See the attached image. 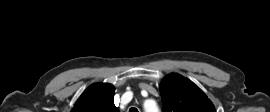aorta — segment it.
Masks as SVG:
<instances>
[{
  "instance_id": "obj_1",
  "label": "aorta",
  "mask_w": 270,
  "mask_h": 112,
  "mask_svg": "<svg viewBox=\"0 0 270 112\" xmlns=\"http://www.w3.org/2000/svg\"><path fill=\"white\" fill-rule=\"evenodd\" d=\"M146 112H159L158 109L156 107H148L146 104Z\"/></svg>"
}]
</instances>
